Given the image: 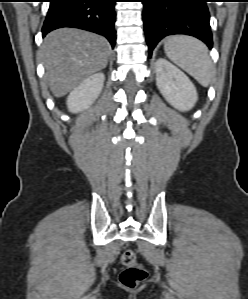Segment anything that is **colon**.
<instances>
[{
    "mask_svg": "<svg viewBox=\"0 0 248 299\" xmlns=\"http://www.w3.org/2000/svg\"><path fill=\"white\" fill-rule=\"evenodd\" d=\"M120 260L123 269L119 275V282L123 286L127 288H135L145 280L147 272L144 267L138 263L136 254L133 250H124Z\"/></svg>",
    "mask_w": 248,
    "mask_h": 299,
    "instance_id": "obj_1",
    "label": "colon"
}]
</instances>
